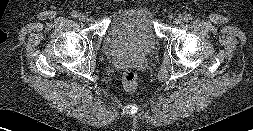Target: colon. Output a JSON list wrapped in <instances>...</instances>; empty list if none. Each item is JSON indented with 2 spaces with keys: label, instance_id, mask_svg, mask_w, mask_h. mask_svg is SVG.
<instances>
[{
  "label": "colon",
  "instance_id": "obj_1",
  "mask_svg": "<svg viewBox=\"0 0 253 131\" xmlns=\"http://www.w3.org/2000/svg\"><path fill=\"white\" fill-rule=\"evenodd\" d=\"M138 84L137 74L133 70H126L123 74V86L128 91H135Z\"/></svg>",
  "mask_w": 253,
  "mask_h": 131
}]
</instances>
